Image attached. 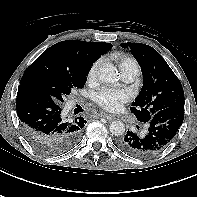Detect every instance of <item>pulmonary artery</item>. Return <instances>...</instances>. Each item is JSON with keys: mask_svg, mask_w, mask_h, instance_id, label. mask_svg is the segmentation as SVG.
I'll return each instance as SVG.
<instances>
[{"mask_svg": "<svg viewBox=\"0 0 197 197\" xmlns=\"http://www.w3.org/2000/svg\"><path fill=\"white\" fill-rule=\"evenodd\" d=\"M122 73V77L126 82H131L133 81L139 74V72L135 71V70H128V71H124L121 72Z\"/></svg>", "mask_w": 197, "mask_h": 197, "instance_id": "pulmonary-artery-1", "label": "pulmonary artery"}]
</instances>
